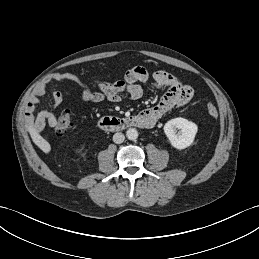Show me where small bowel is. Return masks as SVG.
Masks as SVG:
<instances>
[{"mask_svg":"<svg viewBox=\"0 0 259 259\" xmlns=\"http://www.w3.org/2000/svg\"><path fill=\"white\" fill-rule=\"evenodd\" d=\"M57 82H80L79 77L71 72H57L52 76ZM145 88L166 89L161 100L153 107L144 109L140 114L149 118L151 126L173 108L183 107L192 99L193 88L184 83L177 76L162 70L149 73L144 67L135 66L128 69L122 80L114 83H101L98 91H92L83 86L81 97L84 101L100 102L109 100L119 102L126 97L136 100L141 98ZM47 92L46 84L39 85L33 96L29 99L26 109V120L32 130L41 132L45 126L54 128L56 116L52 111L42 110L37 112L40 99ZM53 107L61 103V94L52 92Z\"/></svg>","mask_w":259,"mask_h":259,"instance_id":"obj_1","label":"small bowel"}]
</instances>
